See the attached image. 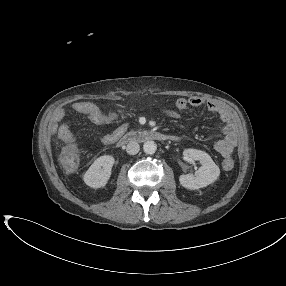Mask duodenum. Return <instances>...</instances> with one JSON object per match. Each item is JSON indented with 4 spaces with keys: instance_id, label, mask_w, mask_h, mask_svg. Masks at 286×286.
Here are the masks:
<instances>
[{
    "instance_id": "duodenum-1",
    "label": "duodenum",
    "mask_w": 286,
    "mask_h": 286,
    "mask_svg": "<svg viewBox=\"0 0 286 286\" xmlns=\"http://www.w3.org/2000/svg\"><path fill=\"white\" fill-rule=\"evenodd\" d=\"M151 140L178 141L179 137L157 131H149V130L134 131L120 138V140L118 141V145L123 146L131 142H147Z\"/></svg>"
}]
</instances>
